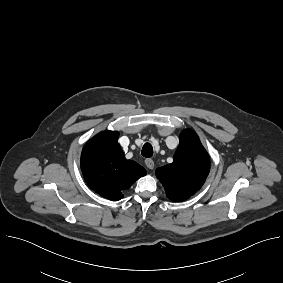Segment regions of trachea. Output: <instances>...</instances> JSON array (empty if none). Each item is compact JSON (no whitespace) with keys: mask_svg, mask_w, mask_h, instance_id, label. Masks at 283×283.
Here are the masks:
<instances>
[{"mask_svg":"<svg viewBox=\"0 0 283 283\" xmlns=\"http://www.w3.org/2000/svg\"><path fill=\"white\" fill-rule=\"evenodd\" d=\"M141 154L144 156V157H152L153 155V147L150 143H145L143 148H142V152Z\"/></svg>","mask_w":283,"mask_h":283,"instance_id":"1","label":"trachea"}]
</instances>
